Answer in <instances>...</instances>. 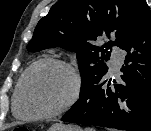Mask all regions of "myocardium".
Here are the masks:
<instances>
[{
  "mask_svg": "<svg viewBox=\"0 0 151 131\" xmlns=\"http://www.w3.org/2000/svg\"><path fill=\"white\" fill-rule=\"evenodd\" d=\"M47 65H55L61 67L68 73L71 80V88L69 94L65 99V101L58 108H56L51 112L42 113V114L25 113L21 108V98L24 92L26 82L32 72H34L36 69L40 67L47 66ZM81 89H82V81H81L80 74L70 63L57 58L42 59L32 64L22 75L16 93L15 102H14L15 111L17 113V116L21 118L32 119V120L51 119L68 111L78 100L81 93Z\"/></svg>",
  "mask_w": 151,
  "mask_h": 131,
  "instance_id": "myocardium-1",
  "label": "myocardium"
}]
</instances>
